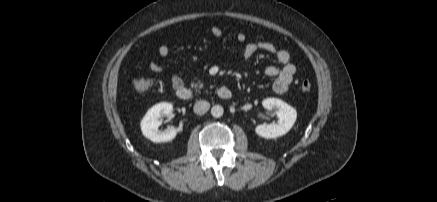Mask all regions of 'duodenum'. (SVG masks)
<instances>
[{"label": "duodenum", "mask_w": 437, "mask_h": 202, "mask_svg": "<svg viewBox=\"0 0 437 202\" xmlns=\"http://www.w3.org/2000/svg\"><path fill=\"white\" fill-rule=\"evenodd\" d=\"M217 94L221 99L227 100L232 97V92L228 87L222 86L217 90ZM176 95L180 100L191 101L198 98V93L188 87H180L176 90Z\"/></svg>", "instance_id": "1"}]
</instances>
